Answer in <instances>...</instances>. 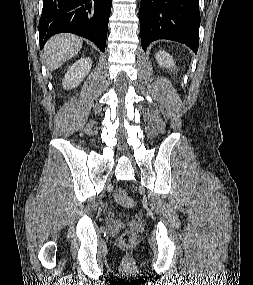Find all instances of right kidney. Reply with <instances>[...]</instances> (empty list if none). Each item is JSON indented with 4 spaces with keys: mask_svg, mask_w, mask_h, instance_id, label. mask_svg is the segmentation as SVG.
Returning a JSON list of instances; mask_svg holds the SVG:
<instances>
[{
    "mask_svg": "<svg viewBox=\"0 0 253 285\" xmlns=\"http://www.w3.org/2000/svg\"><path fill=\"white\" fill-rule=\"evenodd\" d=\"M92 66V60L84 57L77 60L67 71L63 80V88L72 89L78 86L84 77L89 73Z\"/></svg>",
    "mask_w": 253,
    "mask_h": 285,
    "instance_id": "right-kidney-1",
    "label": "right kidney"
}]
</instances>
